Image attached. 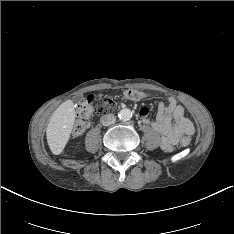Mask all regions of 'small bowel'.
I'll return each instance as SVG.
<instances>
[{"instance_id":"1","label":"small bowel","mask_w":234,"mask_h":234,"mask_svg":"<svg viewBox=\"0 0 234 234\" xmlns=\"http://www.w3.org/2000/svg\"><path fill=\"white\" fill-rule=\"evenodd\" d=\"M125 98L133 101L140 100L127 96ZM139 116L144 124H151L152 128L162 135L161 147L165 151H171L183 135H193L195 131L192 122L185 116L184 108L173 97L159 103L154 121L150 122L147 107L139 110Z\"/></svg>"}]
</instances>
